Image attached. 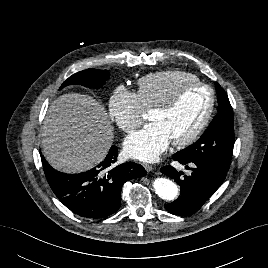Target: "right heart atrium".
Wrapping results in <instances>:
<instances>
[{"mask_svg":"<svg viewBox=\"0 0 268 268\" xmlns=\"http://www.w3.org/2000/svg\"><path fill=\"white\" fill-rule=\"evenodd\" d=\"M110 118L124 132H131L143 120L144 106L138 93L117 87L108 102Z\"/></svg>","mask_w":268,"mask_h":268,"instance_id":"1","label":"right heart atrium"}]
</instances>
